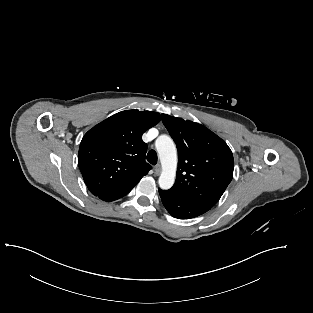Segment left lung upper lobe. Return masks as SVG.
<instances>
[{"label": "left lung upper lobe", "mask_w": 313, "mask_h": 313, "mask_svg": "<svg viewBox=\"0 0 313 313\" xmlns=\"http://www.w3.org/2000/svg\"><path fill=\"white\" fill-rule=\"evenodd\" d=\"M176 143L178 168L174 194L213 207L233 177V154L224 140L201 124L162 114Z\"/></svg>", "instance_id": "left-lung-upper-lobe-1"}]
</instances>
